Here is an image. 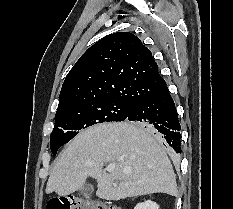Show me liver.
<instances>
[{"mask_svg": "<svg viewBox=\"0 0 233 209\" xmlns=\"http://www.w3.org/2000/svg\"><path fill=\"white\" fill-rule=\"evenodd\" d=\"M112 165L107 173L104 166ZM96 179V196L118 201L153 193L177 196L172 164L152 131L137 123L98 124L81 131L58 158L46 193L69 195L88 177Z\"/></svg>", "mask_w": 233, "mask_h": 209, "instance_id": "1", "label": "liver"}]
</instances>
